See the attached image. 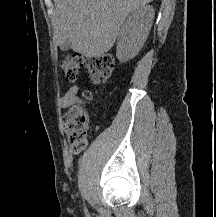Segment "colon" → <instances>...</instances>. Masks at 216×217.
<instances>
[{
    "mask_svg": "<svg viewBox=\"0 0 216 217\" xmlns=\"http://www.w3.org/2000/svg\"><path fill=\"white\" fill-rule=\"evenodd\" d=\"M85 65H87L92 82L100 85L111 77L114 60L109 55H103L86 62L80 54L73 53L61 61V68L69 82H74L78 78L80 69ZM84 97L89 98L90 94L86 92ZM89 121V113L84 108L76 105L70 110L63 124V129L70 143V149L75 154L80 153L86 147Z\"/></svg>",
    "mask_w": 216,
    "mask_h": 217,
    "instance_id": "obj_1",
    "label": "colon"
}]
</instances>
